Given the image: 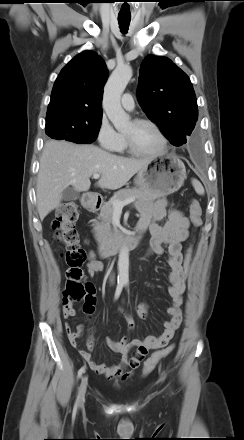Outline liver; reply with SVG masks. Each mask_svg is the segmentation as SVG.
<instances>
[{
  "instance_id": "6515ba94",
  "label": "liver",
  "mask_w": 244,
  "mask_h": 440,
  "mask_svg": "<svg viewBox=\"0 0 244 440\" xmlns=\"http://www.w3.org/2000/svg\"><path fill=\"white\" fill-rule=\"evenodd\" d=\"M151 159H132L113 155L95 145L48 141L44 145L37 176V209L43 220L61 204L68 186L88 191L90 177L100 174L97 186L110 190L123 187Z\"/></svg>"
}]
</instances>
